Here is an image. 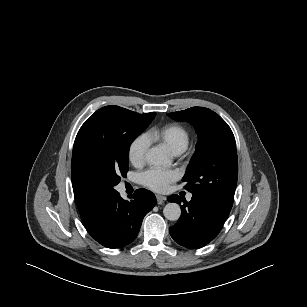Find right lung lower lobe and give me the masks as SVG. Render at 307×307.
<instances>
[{"label": "right lung lower lobe", "instance_id": "obj_1", "mask_svg": "<svg viewBox=\"0 0 307 307\" xmlns=\"http://www.w3.org/2000/svg\"><path fill=\"white\" fill-rule=\"evenodd\" d=\"M126 201L115 191L105 198L83 221L90 235L101 245L120 248L138 235L144 216L156 205L155 195L138 189Z\"/></svg>", "mask_w": 307, "mask_h": 307}]
</instances>
